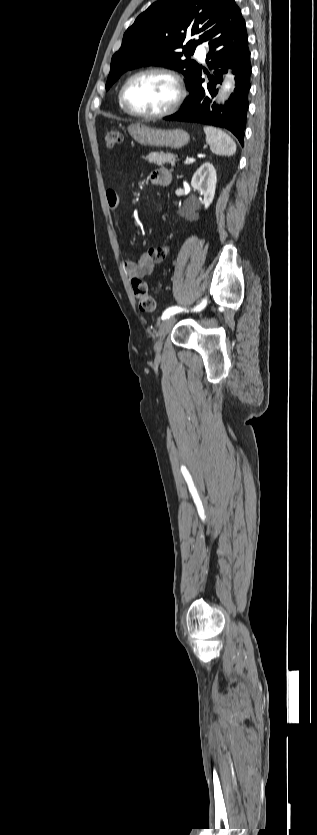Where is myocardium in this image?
<instances>
[{
  "label": "myocardium",
  "mask_w": 317,
  "mask_h": 835,
  "mask_svg": "<svg viewBox=\"0 0 317 835\" xmlns=\"http://www.w3.org/2000/svg\"><path fill=\"white\" fill-rule=\"evenodd\" d=\"M147 74L164 75V76L170 78L173 81V83L175 84V87H176V92L177 93H176V97L173 100V102L166 109H164L160 112H157V113L149 114V113L139 112V111L133 109L132 106L129 104L128 100H127L126 92H127V88L130 85V83L133 80H135L136 78H138L140 76H143V75H147ZM185 96H186V91H185L184 84H183L182 79L180 78V76L176 72H174L173 70H170L168 68H163V67H149V68H145V69H142L140 71L135 72L134 74H132L130 77H128L125 80V82L123 83V85L120 89V92H119L120 102H121L123 108L126 110V112H128L129 114H131L133 116L143 118V119H159V118H163V117H166V116H169V115L175 113L179 109V107L181 106L182 102L184 101Z\"/></svg>",
  "instance_id": "1"
}]
</instances>
